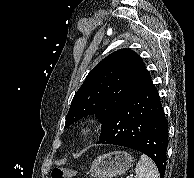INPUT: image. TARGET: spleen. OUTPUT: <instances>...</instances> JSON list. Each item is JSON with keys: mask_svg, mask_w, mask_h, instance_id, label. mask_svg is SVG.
Here are the masks:
<instances>
[{"mask_svg": "<svg viewBox=\"0 0 194 178\" xmlns=\"http://www.w3.org/2000/svg\"><path fill=\"white\" fill-rule=\"evenodd\" d=\"M135 178H160L154 162L146 155H141L135 168Z\"/></svg>", "mask_w": 194, "mask_h": 178, "instance_id": "3e777b00", "label": "spleen"}]
</instances>
